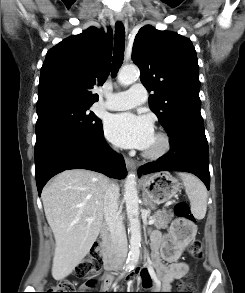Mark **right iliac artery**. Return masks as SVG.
<instances>
[{"instance_id":"right-iliac-artery-1","label":"right iliac artery","mask_w":245,"mask_h":293,"mask_svg":"<svg viewBox=\"0 0 245 293\" xmlns=\"http://www.w3.org/2000/svg\"><path fill=\"white\" fill-rule=\"evenodd\" d=\"M125 272H127V269L125 270ZM125 272H124V273H125ZM124 273L122 274V276L124 275Z\"/></svg>"}]
</instances>
